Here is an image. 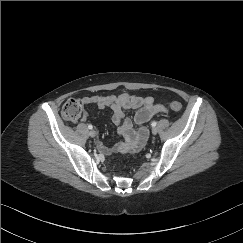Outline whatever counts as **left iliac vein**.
<instances>
[{"instance_id":"left-iliac-vein-1","label":"left iliac vein","mask_w":243,"mask_h":243,"mask_svg":"<svg viewBox=\"0 0 243 243\" xmlns=\"http://www.w3.org/2000/svg\"><path fill=\"white\" fill-rule=\"evenodd\" d=\"M152 134H157V129L156 128H152Z\"/></svg>"}]
</instances>
